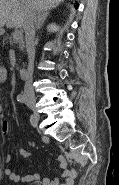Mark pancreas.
<instances>
[{
  "label": "pancreas",
  "instance_id": "cf45deb5",
  "mask_svg": "<svg viewBox=\"0 0 119 185\" xmlns=\"http://www.w3.org/2000/svg\"><path fill=\"white\" fill-rule=\"evenodd\" d=\"M6 40L10 45H13L14 43H16V44H18L19 49H21V50L24 49V41H23L22 36L19 40H14L13 35L12 36H7Z\"/></svg>",
  "mask_w": 119,
  "mask_h": 185
}]
</instances>
